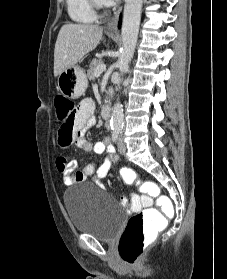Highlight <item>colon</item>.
Masks as SVG:
<instances>
[{"label":"colon","mask_w":227,"mask_h":279,"mask_svg":"<svg viewBox=\"0 0 227 279\" xmlns=\"http://www.w3.org/2000/svg\"><path fill=\"white\" fill-rule=\"evenodd\" d=\"M56 116L61 124L59 135L61 139H68L79 128L76 125V112L74 101L66 96L59 95L55 98ZM125 182L135 183L139 188L149 191L148 195L141 198L157 197V202L162 203L166 196L161 194L159 186L151 181L139 177L133 170L127 169L122 173ZM170 219L158 208L143 209L133 215L124 230L119 243L120 257L127 263H134L138 260L143 251L144 239L154 236L164 226V222Z\"/></svg>","instance_id":"obj_1"}]
</instances>
